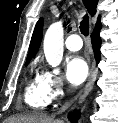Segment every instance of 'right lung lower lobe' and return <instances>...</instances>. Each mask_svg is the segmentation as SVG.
Instances as JSON below:
<instances>
[{"mask_svg": "<svg viewBox=\"0 0 118 123\" xmlns=\"http://www.w3.org/2000/svg\"><path fill=\"white\" fill-rule=\"evenodd\" d=\"M91 41H92L93 51L96 61L99 62L101 57V53H100L101 38L99 36V30L94 31L91 34ZM78 117L79 115L77 112L69 114V118L71 121L77 122Z\"/></svg>", "mask_w": 118, "mask_h": 123, "instance_id": "obj_1", "label": "right lung lower lobe"}]
</instances>
